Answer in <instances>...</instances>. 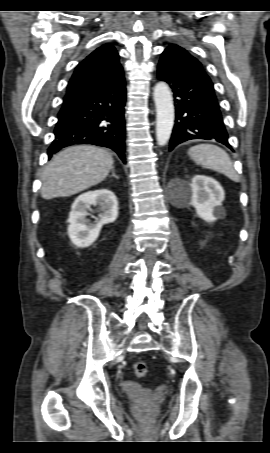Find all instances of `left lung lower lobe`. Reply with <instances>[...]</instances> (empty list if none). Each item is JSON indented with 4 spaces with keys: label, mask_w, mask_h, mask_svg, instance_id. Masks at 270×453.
<instances>
[{
    "label": "left lung lower lobe",
    "mask_w": 270,
    "mask_h": 453,
    "mask_svg": "<svg viewBox=\"0 0 270 453\" xmlns=\"http://www.w3.org/2000/svg\"><path fill=\"white\" fill-rule=\"evenodd\" d=\"M158 78L171 85L176 97V120L169 151L192 139H214L232 149L208 76L194 65L163 57L158 65Z\"/></svg>",
    "instance_id": "obj_1"
}]
</instances>
